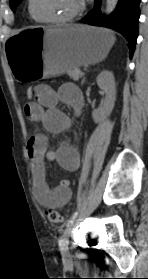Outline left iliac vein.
Instances as JSON below:
<instances>
[{"instance_id":"left-iliac-vein-1","label":"left iliac vein","mask_w":148,"mask_h":279,"mask_svg":"<svg viewBox=\"0 0 148 279\" xmlns=\"http://www.w3.org/2000/svg\"><path fill=\"white\" fill-rule=\"evenodd\" d=\"M74 224H71L64 232L63 237L60 242V250L64 257H68L69 250H68V238L73 232Z\"/></svg>"}]
</instances>
